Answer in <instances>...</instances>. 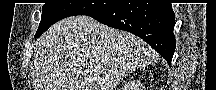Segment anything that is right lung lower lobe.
<instances>
[{"label":"right lung lower lobe","instance_id":"98d812e1","mask_svg":"<svg viewBox=\"0 0 216 90\" xmlns=\"http://www.w3.org/2000/svg\"><path fill=\"white\" fill-rule=\"evenodd\" d=\"M87 16L139 36L170 65L176 46L171 4H110Z\"/></svg>","mask_w":216,"mask_h":90}]
</instances>
